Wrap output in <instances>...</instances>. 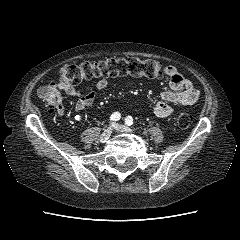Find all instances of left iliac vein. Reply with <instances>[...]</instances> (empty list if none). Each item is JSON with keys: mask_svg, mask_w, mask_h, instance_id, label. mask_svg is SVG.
Listing matches in <instances>:
<instances>
[{"mask_svg": "<svg viewBox=\"0 0 240 240\" xmlns=\"http://www.w3.org/2000/svg\"><path fill=\"white\" fill-rule=\"evenodd\" d=\"M115 128L120 131V132H123V133H131L132 130L125 126V125H122V124H115Z\"/></svg>", "mask_w": 240, "mask_h": 240, "instance_id": "4c4485c4", "label": "left iliac vein"}]
</instances>
